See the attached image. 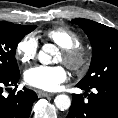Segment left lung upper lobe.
Here are the masks:
<instances>
[{
    "instance_id": "obj_1",
    "label": "left lung upper lobe",
    "mask_w": 118,
    "mask_h": 118,
    "mask_svg": "<svg viewBox=\"0 0 118 118\" xmlns=\"http://www.w3.org/2000/svg\"><path fill=\"white\" fill-rule=\"evenodd\" d=\"M72 22L84 30L92 46L89 71L78 84L91 88L118 82V31L88 19L77 18Z\"/></svg>"
}]
</instances>
